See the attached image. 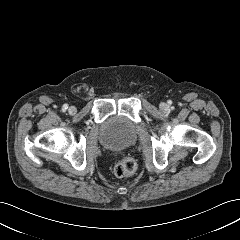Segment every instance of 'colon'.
Returning a JSON list of instances; mask_svg holds the SVG:
<instances>
[{"mask_svg":"<svg viewBox=\"0 0 240 240\" xmlns=\"http://www.w3.org/2000/svg\"><path fill=\"white\" fill-rule=\"evenodd\" d=\"M137 170V163L129 157H121L114 161L112 172L116 177L124 178L132 176Z\"/></svg>","mask_w":240,"mask_h":240,"instance_id":"colon-1","label":"colon"}]
</instances>
